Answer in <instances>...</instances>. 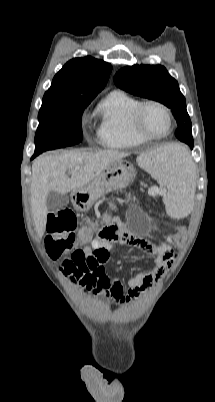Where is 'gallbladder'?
<instances>
[{
    "instance_id": "gallbladder-1",
    "label": "gallbladder",
    "mask_w": 215,
    "mask_h": 402,
    "mask_svg": "<svg viewBox=\"0 0 215 402\" xmlns=\"http://www.w3.org/2000/svg\"><path fill=\"white\" fill-rule=\"evenodd\" d=\"M69 197L66 194H61L56 191H50L47 196V209L50 212L58 211L67 206Z\"/></svg>"
}]
</instances>
